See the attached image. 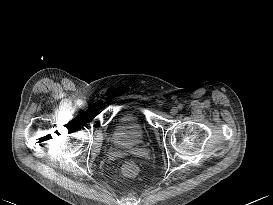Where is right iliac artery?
<instances>
[{
  "mask_svg": "<svg viewBox=\"0 0 273 205\" xmlns=\"http://www.w3.org/2000/svg\"><path fill=\"white\" fill-rule=\"evenodd\" d=\"M76 104L80 106V105L82 104V102L78 100V101L76 102Z\"/></svg>",
  "mask_w": 273,
  "mask_h": 205,
  "instance_id": "obj_1",
  "label": "right iliac artery"
}]
</instances>
